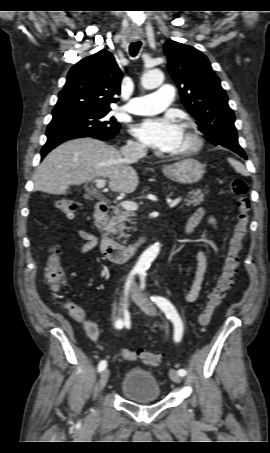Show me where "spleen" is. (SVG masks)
I'll return each mask as SVG.
<instances>
[{"mask_svg": "<svg viewBox=\"0 0 270 453\" xmlns=\"http://www.w3.org/2000/svg\"><path fill=\"white\" fill-rule=\"evenodd\" d=\"M228 161L237 172H239L241 174L246 173L245 167L240 162H238L237 160H234L232 158H229Z\"/></svg>", "mask_w": 270, "mask_h": 453, "instance_id": "spleen-1", "label": "spleen"}]
</instances>
